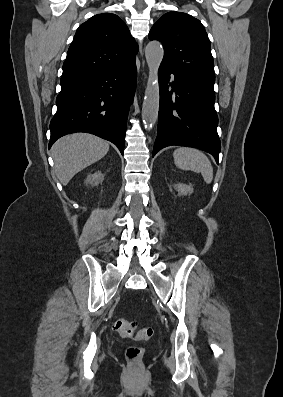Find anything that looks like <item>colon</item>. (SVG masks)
Segmentation results:
<instances>
[{"mask_svg": "<svg viewBox=\"0 0 283 397\" xmlns=\"http://www.w3.org/2000/svg\"><path fill=\"white\" fill-rule=\"evenodd\" d=\"M115 330L127 338H138L140 340H147L152 336L151 328H138V324L124 318H119L114 322ZM145 349L139 346H130L126 350V358L133 367H140L144 356Z\"/></svg>", "mask_w": 283, "mask_h": 397, "instance_id": "1", "label": "colon"}]
</instances>
